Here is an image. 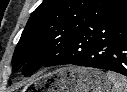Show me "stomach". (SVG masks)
Returning a JSON list of instances; mask_svg holds the SVG:
<instances>
[{
	"mask_svg": "<svg viewBox=\"0 0 127 92\" xmlns=\"http://www.w3.org/2000/svg\"><path fill=\"white\" fill-rule=\"evenodd\" d=\"M46 92H109L111 82L97 69L67 66L45 77Z\"/></svg>",
	"mask_w": 127,
	"mask_h": 92,
	"instance_id": "obj_1",
	"label": "stomach"
}]
</instances>
